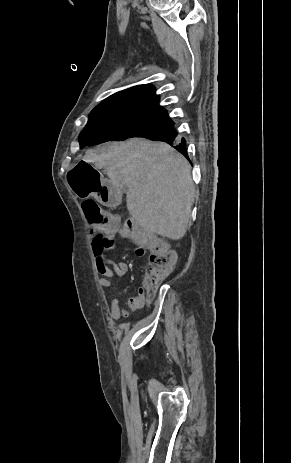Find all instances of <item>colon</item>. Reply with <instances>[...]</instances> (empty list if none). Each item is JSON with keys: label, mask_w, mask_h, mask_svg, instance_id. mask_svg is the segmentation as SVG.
Masks as SVG:
<instances>
[{"label": "colon", "mask_w": 291, "mask_h": 463, "mask_svg": "<svg viewBox=\"0 0 291 463\" xmlns=\"http://www.w3.org/2000/svg\"><path fill=\"white\" fill-rule=\"evenodd\" d=\"M82 208L93 232H104L110 235L119 233L132 240L144 252H150L145 289L151 295L156 286L174 269L176 264L175 251L158 242L150 232L139 226L134 220L128 219L120 222L116 216L102 208L93 199L84 200Z\"/></svg>", "instance_id": "5ec220e1"}]
</instances>
